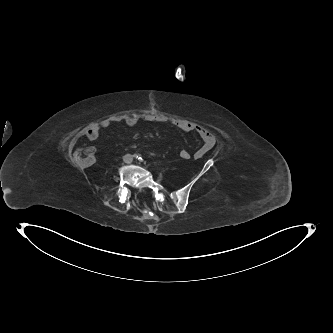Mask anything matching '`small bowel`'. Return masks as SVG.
Listing matches in <instances>:
<instances>
[{
  "label": "small bowel",
  "instance_id": "c3829d8e",
  "mask_svg": "<svg viewBox=\"0 0 333 333\" xmlns=\"http://www.w3.org/2000/svg\"><path fill=\"white\" fill-rule=\"evenodd\" d=\"M148 121V122H156V123H162L164 122L163 119L159 117H154L151 115H131L124 119V122L128 126H134L139 121ZM120 120H110L106 119L101 121L100 123L94 125L86 132V138L89 141H95L101 131L103 129L109 128L113 123L119 122ZM172 124L177 127L178 129L186 132H195L199 135V137L202 139V146L194 153L195 159H200L203 156H205L215 145L216 138L212 132H210L207 128H205L202 125L196 124L194 122L184 120V119H175L172 121Z\"/></svg>",
  "mask_w": 333,
  "mask_h": 333
}]
</instances>
